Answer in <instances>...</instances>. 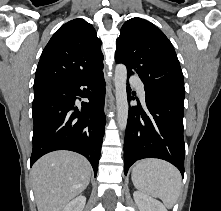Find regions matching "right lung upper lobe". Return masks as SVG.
Instances as JSON below:
<instances>
[{
  "mask_svg": "<svg viewBox=\"0 0 221 211\" xmlns=\"http://www.w3.org/2000/svg\"><path fill=\"white\" fill-rule=\"evenodd\" d=\"M104 67L101 41L84 19L64 24L49 40L36 70L34 93L92 75Z\"/></svg>",
  "mask_w": 221,
  "mask_h": 211,
  "instance_id": "1",
  "label": "right lung upper lobe"
}]
</instances>
